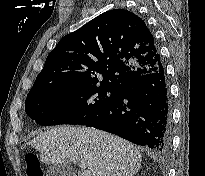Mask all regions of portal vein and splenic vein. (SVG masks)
I'll use <instances>...</instances> for the list:
<instances>
[{"label": "portal vein and splenic vein", "instance_id": "obj_1", "mask_svg": "<svg viewBox=\"0 0 205 176\" xmlns=\"http://www.w3.org/2000/svg\"><path fill=\"white\" fill-rule=\"evenodd\" d=\"M78 165L81 169H86V165L84 163H79Z\"/></svg>", "mask_w": 205, "mask_h": 176}]
</instances>
